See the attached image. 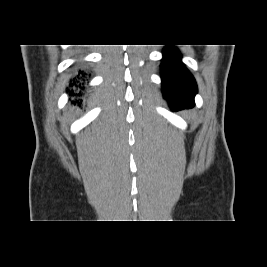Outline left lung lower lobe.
<instances>
[{
    "label": "left lung lower lobe",
    "mask_w": 267,
    "mask_h": 267,
    "mask_svg": "<svg viewBox=\"0 0 267 267\" xmlns=\"http://www.w3.org/2000/svg\"><path fill=\"white\" fill-rule=\"evenodd\" d=\"M162 90L173 110L194 105L197 85L191 73L181 61V55L174 46L163 51L161 64Z\"/></svg>",
    "instance_id": "1"
}]
</instances>
